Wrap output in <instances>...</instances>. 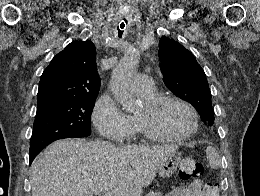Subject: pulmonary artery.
<instances>
[{
  "label": "pulmonary artery",
  "instance_id": "1",
  "mask_svg": "<svg viewBox=\"0 0 260 196\" xmlns=\"http://www.w3.org/2000/svg\"><path fill=\"white\" fill-rule=\"evenodd\" d=\"M141 84H151L150 76H139V79H134V81L132 82V87L136 92L142 93H149L154 89L151 85Z\"/></svg>",
  "mask_w": 260,
  "mask_h": 196
}]
</instances>
